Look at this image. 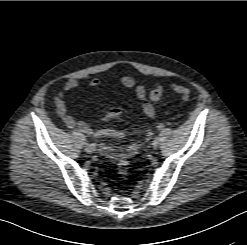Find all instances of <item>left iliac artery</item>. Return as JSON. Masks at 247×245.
Instances as JSON below:
<instances>
[{
  "label": "left iliac artery",
  "instance_id": "left-iliac-artery-1",
  "mask_svg": "<svg viewBox=\"0 0 247 245\" xmlns=\"http://www.w3.org/2000/svg\"><path fill=\"white\" fill-rule=\"evenodd\" d=\"M157 128H158L159 130H162V129L164 128V126H163L162 124H160V125L157 126Z\"/></svg>",
  "mask_w": 247,
  "mask_h": 245
}]
</instances>
